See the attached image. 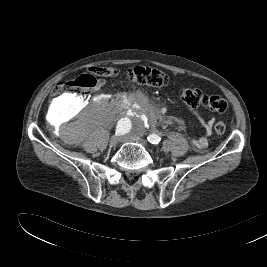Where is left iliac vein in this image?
Instances as JSON below:
<instances>
[{
    "instance_id": "left-iliac-vein-1",
    "label": "left iliac vein",
    "mask_w": 267,
    "mask_h": 267,
    "mask_svg": "<svg viewBox=\"0 0 267 267\" xmlns=\"http://www.w3.org/2000/svg\"><path fill=\"white\" fill-rule=\"evenodd\" d=\"M126 140L135 141L137 143H140L141 145L147 147V142L140 137H138L136 134L131 135L130 137H127Z\"/></svg>"
}]
</instances>
